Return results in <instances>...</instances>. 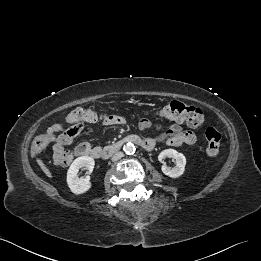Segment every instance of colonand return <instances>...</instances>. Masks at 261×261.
<instances>
[{
    "instance_id": "5ec220e1",
    "label": "colon",
    "mask_w": 261,
    "mask_h": 261,
    "mask_svg": "<svg viewBox=\"0 0 261 261\" xmlns=\"http://www.w3.org/2000/svg\"><path fill=\"white\" fill-rule=\"evenodd\" d=\"M156 116L185 122L191 127H201L204 123V115L200 108L184 104L179 101L170 103L156 109ZM105 115L92 108H79L68 114L66 120L70 126L63 132L54 135L45 132L34 138L31 145L32 154H38L53 142L59 144H69L75 136L81 131L84 122H96L103 120ZM148 119H143L147 121ZM207 141L206 154L210 158H215L220 151L221 133L214 127H208L205 131Z\"/></svg>"
}]
</instances>
